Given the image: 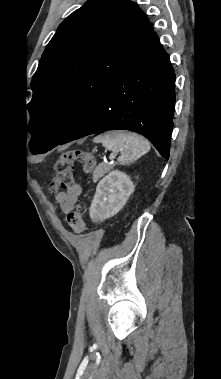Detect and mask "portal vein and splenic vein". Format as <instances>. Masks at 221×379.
Listing matches in <instances>:
<instances>
[{"mask_svg": "<svg viewBox=\"0 0 221 379\" xmlns=\"http://www.w3.org/2000/svg\"><path fill=\"white\" fill-rule=\"evenodd\" d=\"M114 158H115V156H110V157H109V160H110V161H113Z\"/></svg>", "mask_w": 221, "mask_h": 379, "instance_id": "obj_1", "label": "portal vein and splenic vein"}]
</instances>
